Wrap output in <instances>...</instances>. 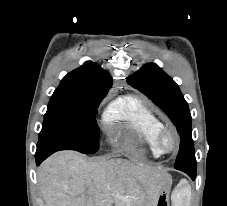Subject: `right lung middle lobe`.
Listing matches in <instances>:
<instances>
[{"label":"right lung middle lobe","instance_id":"obj_1","mask_svg":"<svg viewBox=\"0 0 227 206\" xmlns=\"http://www.w3.org/2000/svg\"><path fill=\"white\" fill-rule=\"evenodd\" d=\"M103 98L54 93L44 115L36 153L59 150L95 153L99 146L96 107Z\"/></svg>","mask_w":227,"mask_h":206}]
</instances>
